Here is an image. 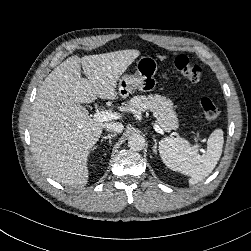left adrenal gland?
<instances>
[{"label": "left adrenal gland", "instance_id": "left-adrenal-gland-1", "mask_svg": "<svg viewBox=\"0 0 251 251\" xmlns=\"http://www.w3.org/2000/svg\"><path fill=\"white\" fill-rule=\"evenodd\" d=\"M153 141L155 142V145H154V147H153V152H154L155 154H157V150H156V148H157V142H156V139L153 138Z\"/></svg>", "mask_w": 251, "mask_h": 251}]
</instances>
